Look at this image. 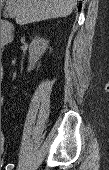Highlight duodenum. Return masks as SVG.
Segmentation results:
<instances>
[{
	"label": "duodenum",
	"instance_id": "duodenum-1",
	"mask_svg": "<svg viewBox=\"0 0 109 170\" xmlns=\"http://www.w3.org/2000/svg\"><path fill=\"white\" fill-rule=\"evenodd\" d=\"M3 31H4L5 33L9 31V24H8V23H5V24H4ZM5 35L7 36V34H5ZM8 41H9V38L6 37V38L4 39V43H8Z\"/></svg>",
	"mask_w": 109,
	"mask_h": 170
}]
</instances>
